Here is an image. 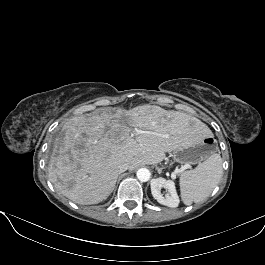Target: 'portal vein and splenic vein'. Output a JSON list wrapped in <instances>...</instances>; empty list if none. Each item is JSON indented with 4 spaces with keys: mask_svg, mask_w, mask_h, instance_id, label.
<instances>
[{
    "mask_svg": "<svg viewBox=\"0 0 265 265\" xmlns=\"http://www.w3.org/2000/svg\"><path fill=\"white\" fill-rule=\"evenodd\" d=\"M190 168H191L190 165H184V166L180 169V171H183V170H185V169H190Z\"/></svg>",
    "mask_w": 265,
    "mask_h": 265,
    "instance_id": "obj_1",
    "label": "portal vein and splenic vein"
}]
</instances>
